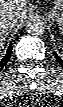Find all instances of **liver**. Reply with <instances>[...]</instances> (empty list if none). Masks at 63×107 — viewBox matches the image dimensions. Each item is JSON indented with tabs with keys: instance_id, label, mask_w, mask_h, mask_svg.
Instances as JSON below:
<instances>
[{
	"instance_id": "6515ba94",
	"label": "liver",
	"mask_w": 63,
	"mask_h": 107,
	"mask_svg": "<svg viewBox=\"0 0 63 107\" xmlns=\"http://www.w3.org/2000/svg\"><path fill=\"white\" fill-rule=\"evenodd\" d=\"M27 0H0V17L1 15H15L19 22L27 18ZM5 30L0 28L1 45L5 40Z\"/></svg>"
}]
</instances>
